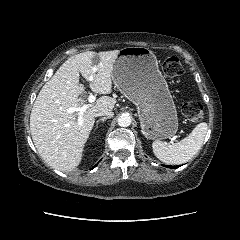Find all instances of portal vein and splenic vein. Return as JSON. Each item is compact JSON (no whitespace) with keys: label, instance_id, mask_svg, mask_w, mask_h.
I'll list each match as a JSON object with an SVG mask.
<instances>
[{"label":"portal vein and splenic vein","instance_id":"portal-vein-and-splenic-vein-1","mask_svg":"<svg viewBox=\"0 0 240 240\" xmlns=\"http://www.w3.org/2000/svg\"><path fill=\"white\" fill-rule=\"evenodd\" d=\"M93 71L95 72L96 69H93ZM89 80L92 81V80H93V76H91V77L89 78ZM95 99H96V97H95V95H93V94H90L89 97H88V101H89L90 103L95 102ZM87 108H88V105H83V106H80V107L74 106V107H70L69 109H67V112H68V113L78 112L79 118L81 119L83 112H84ZM174 139H175V138H172V141H173Z\"/></svg>","mask_w":240,"mask_h":240}]
</instances>
